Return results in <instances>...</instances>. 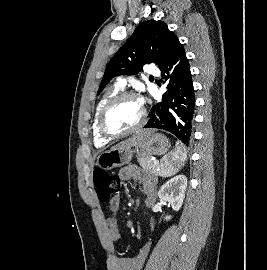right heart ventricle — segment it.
<instances>
[{"instance_id":"e07e8e85","label":"right heart ventricle","mask_w":267,"mask_h":270,"mask_svg":"<svg viewBox=\"0 0 267 270\" xmlns=\"http://www.w3.org/2000/svg\"><path fill=\"white\" fill-rule=\"evenodd\" d=\"M120 91V87L115 85L114 87H112L111 89H109L104 95L103 97L99 100L95 112H94V117H93V121H92V135H93V140H94V144L97 147H103L106 144H108L109 140L104 139L98 131V116L99 113L101 111V109L103 108V106L115 95H117Z\"/></svg>"}]
</instances>
